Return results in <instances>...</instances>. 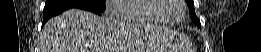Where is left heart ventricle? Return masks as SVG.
I'll list each match as a JSON object with an SVG mask.
<instances>
[{"label": "left heart ventricle", "instance_id": "1", "mask_svg": "<svg viewBox=\"0 0 261 52\" xmlns=\"http://www.w3.org/2000/svg\"><path fill=\"white\" fill-rule=\"evenodd\" d=\"M171 3V7L165 11L164 17L170 21H176L182 16V8L177 4V0H168Z\"/></svg>", "mask_w": 261, "mask_h": 52}]
</instances>
